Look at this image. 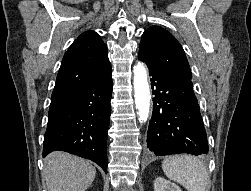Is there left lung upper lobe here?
<instances>
[{
	"label": "left lung upper lobe",
	"mask_w": 251,
	"mask_h": 191,
	"mask_svg": "<svg viewBox=\"0 0 251 191\" xmlns=\"http://www.w3.org/2000/svg\"><path fill=\"white\" fill-rule=\"evenodd\" d=\"M139 56L171 76L191 80L192 73L180 43L167 30L151 26L143 34Z\"/></svg>",
	"instance_id": "left-lung-upper-lobe-1"
}]
</instances>
